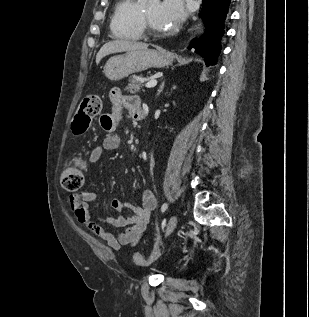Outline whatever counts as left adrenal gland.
Segmentation results:
<instances>
[{"label":"left adrenal gland","mask_w":309,"mask_h":317,"mask_svg":"<svg viewBox=\"0 0 309 317\" xmlns=\"http://www.w3.org/2000/svg\"><path fill=\"white\" fill-rule=\"evenodd\" d=\"M164 84H165V81H163L158 89V92H157V96L160 95V93L162 92V90L164 89Z\"/></svg>","instance_id":"a2214340"}]
</instances>
